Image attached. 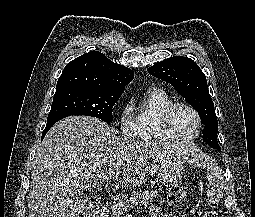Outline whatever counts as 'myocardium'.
Masks as SVG:
<instances>
[{
	"label": "myocardium",
	"mask_w": 255,
	"mask_h": 217,
	"mask_svg": "<svg viewBox=\"0 0 255 217\" xmlns=\"http://www.w3.org/2000/svg\"><path fill=\"white\" fill-rule=\"evenodd\" d=\"M179 107H184L189 109L197 118L198 126L194 134L189 136H184L176 132L172 124V116L175 110ZM162 126L164 131L172 138L176 140L182 141H190L197 138L201 132L203 126V120L199 111L191 104L187 102H173L169 106H167L161 116Z\"/></svg>",
	"instance_id": "1"
}]
</instances>
